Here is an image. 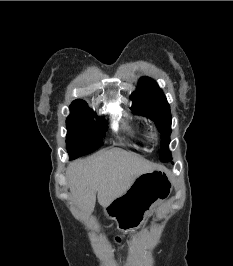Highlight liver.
Wrapping results in <instances>:
<instances>
[{"instance_id":"1","label":"liver","mask_w":233,"mask_h":266,"mask_svg":"<svg viewBox=\"0 0 233 266\" xmlns=\"http://www.w3.org/2000/svg\"><path fill=\"white\" fill-rule=\"evenodd\" d=\"M156 167L135 153L114 148L71 163L66 177L74 203L90 215L96 193L99 204L108 207L130 189L139 175Z\"/></svg>"}]
</instances>
